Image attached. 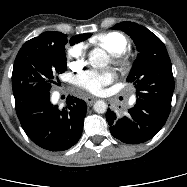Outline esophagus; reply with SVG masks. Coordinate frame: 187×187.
I'll return each instance as SVG.
<instances>
[{
	"mask_svg": "<svg viewBox=\"0 0 187 187\" xmlns=\"http://www.w3.org/2000/svg\"><path fill=\"white\" fill-rule=\"evenodd\" d=\"M96 100H97V98H95V97H87L85 99L87 105H89V106H91Z\"/></svg>",
	"mask_w": 187,
	"mask_h": 187,
	"instance_id": "obj_1",
	"label": "esophagus"
}]
</instances>
